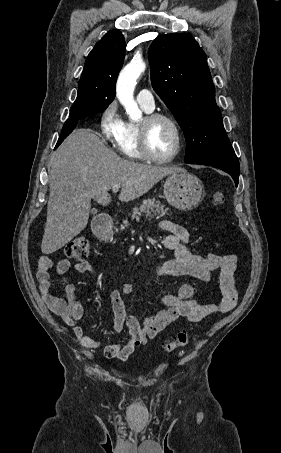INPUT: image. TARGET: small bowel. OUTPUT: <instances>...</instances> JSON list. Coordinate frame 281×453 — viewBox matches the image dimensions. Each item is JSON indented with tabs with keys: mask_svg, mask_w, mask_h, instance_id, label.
Wrapping results in <instances>:
<instances>
[{
	"mask_svg": "<svg viewBox=\"0 0 281 453\" xmlns=\"http://www.w3.org/2000/svg\"><path fill=\"white\" fill-rule=\"evenodd\" d=\"M160 229L173 235L166 237L164 244L168 251H175L176 255V259L166 261L159 267L160 273L172 277H194L206 285H212L216 282L214 271L219 268V287L222 300L218 304H202L192 298L194 294L193 288L189 285H183L179 287L177 294L165 297L166 309L148 316L140 323L136 318L128 314L123 299V295H130L133 292V286L129 283H122L120 290L112 289L109 291L113 312L112 327L115 332H121L128 328L130 335L125 343H112L105 346V353L108 358L126 359L148 339L154 338L171 322L182 317L187 318L192 323H199L213 313L227 314L237 304L236 266L238 258L236 255L192 253L186 246L190 234L185 227L170 221H162ZM160 248L163 250L165 247L162 245ZM52 266L53 261L49 256L42 255L40 257L36 275L44 301L54 315L62 318L67 325L73 327L75 336L84 348H101L105 343L104 338L89 336L83 327L77 325L83 316L84 306L77 298L75 283L64 284L65 299L54 297L51 294L49 271ZM70 268V261L61 259L56 264L55 274L61 277ZM74 269L77 272H86L91 276L96 275L95 266L88 262L77 263Z\"/></svg>",
	"mask_w": 281,
	"mask_h": 453,
	"instance_id": "small-bowel-1",
	"label": "small bowel"
}]
</instances>
